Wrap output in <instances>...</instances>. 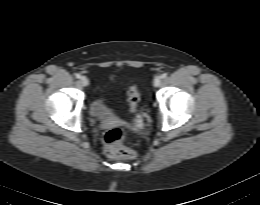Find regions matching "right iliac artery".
<instances>
[{
	"mask_svg": "<svg viewBox=\"0 0 260 205\" xmlns=\"http://www.w3.org/2000/svg\"><path fill=\"white\" fill-rule=\"evenodd\" d=\"M75 77L79 79V78H81V75L79 73H76Z\"/></svg>",
	"mask_w": 260,
	"mask_h": 205,
	"instance_id": "right-iliac-artery-1",
	"label": "right iliac artery"
}]
</instances>
